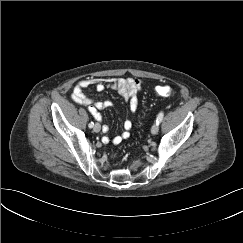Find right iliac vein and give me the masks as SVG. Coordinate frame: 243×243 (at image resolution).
Instances as JSON below:
<instances>
[{"instance_id":"1","label":"right iliac vein","mask_w":243,"mask_h":243,"mask_svg":"<svg viewBox=\"0 0 243 243\" xmlns=\"http://www.w3.org/2000/svg\"><path fill=\"white\" fill-rule=\"evenodd\" d=\"M93 130H94V132H99L101 130V125L99 123H96L93 126Z\"/></svg>"}]
</instances>
